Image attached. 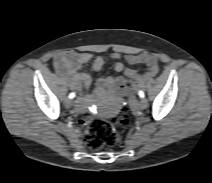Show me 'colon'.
<instances>
[{
	"label": "colon",
	"mask_w": 212,
	"mask_h": 183,
	"mask_svg": "<svg viewBox=\"0 0 212 183\" xmlns=\"http://www.w3.org/2000/svg\"><path fill=\"white\" fill-rule=\"evenodd\" d=\"M128 122V116L124 113L114 122H110L101 117H88L81 119V123L86 127L85 143L91 149H101L105 146H115L121 143L123 134L118 129V125Z\"/></svg>",
	"instance_id": "1"
}]
</instances>
